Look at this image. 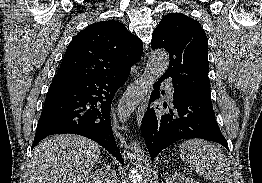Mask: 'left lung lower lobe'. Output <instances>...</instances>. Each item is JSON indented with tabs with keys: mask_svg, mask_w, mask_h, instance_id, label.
<instances>
[{
	"mask_svg": "<svg viewBox=\"0 0 262 183\" xmlns=\"http://www.w3.org/2000/svg\"><path fill=\"white\" fill-rule=\"evenodd\" d=\"M165 78L167 76L163 75L154 84L149 104L160 97V82ZM173 87L170 114L156 115L148 106L142 119L141 132L152 161L161 150L181 139L201 138L220 143L228 149L227 140L216 122L211 98L190 93L175 83ZM164 107L167 108V105Z\"/></svg>",
	"mask_w": 262,
	"mask_h": 183,
	"instance_id": "1",
	"label": "left lung lower lobe"
}]
</instances>
